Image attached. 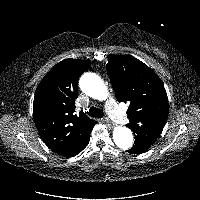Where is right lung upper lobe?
I'll return each mask as SVG.
<instances>
[{
    "label": "right lung upper lobe",
    "instance_id": "right-lung-upper-lobe-1",
    "mask_svg": "<svg viewBox=\"0 0 200 200\" xmlns=\"http://www.w3.org/2000/svg\"><path fill=\"white\" fill-rule=\"evenodd\" d=\"M90 65L88 60L65 59L47 73L35 92L37 130L52 151L65 157L77 155L96 123L83 111H75L78 79Z\"/></svg>",
    "mask_w": 200,
    "mask_h": 200
}]
</instances>
